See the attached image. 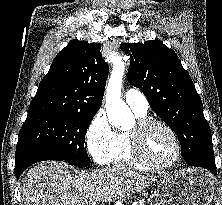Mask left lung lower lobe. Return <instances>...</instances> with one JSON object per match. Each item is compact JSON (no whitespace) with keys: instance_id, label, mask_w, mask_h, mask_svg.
Wrapping results in <instances>:
<instances>
[{"instance_id":"1","label":"left lung lower lobe","mask_w":222,"mask_h":205,"mask_svg":"<svg viewBox=\"0 0 222 205\" xmlns=\"http://www.w3.org/2000/svg\"><path fill=\"white\" fill-rule=\"evenodd\" d=\"M188 165L202 167L210 170L213 174H216V165L212 160L201 158L192 154L183 156Z\"/></svg>"}]
</instances>
